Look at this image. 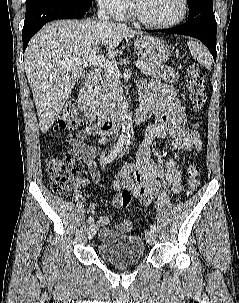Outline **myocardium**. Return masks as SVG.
<instances>
[{
    "label": "myocardium",
    "instance_id": "obj_1",
    "mask_svg": "<svg viewBox=\"0 0 239 303\" xmlns=\"http://www.w3.org/2000/svg\"><path fill=\"white\" fill-rule=\"evenodd\" d=\"M181 4H182V10H181L180 14L176 18H174L170 21H167V22H153V21L146 19L140 13L135 0H131V12H132L133 17L142 25H144L146 27H150V28L165 29V28H171V27L178 25L187 16L188 8H189L188 0H181Z\"/></svg>",
    "mask_w": 239,
    "mask_h": 303
}]
</instances>
